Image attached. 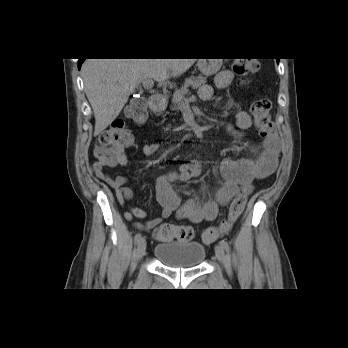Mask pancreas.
Segmentation results:
<instances>
[{"label": "pancreas", "instance_id": "cf45deb5", "mask_svg": "<svg viewBox=\"0 0 348 348\" xmlns=\"http://www.w3.org/2000/svg\"><path fill=\"white\" fill-rule=\"evenodd\" d=\"M207 78L204 76H190L185 79L184 85L180 88L175 90L173 94V98L171 100V110L177 111L181 109L182 104L185 102V94L188 91V87H192L193 89H197L200 86L206 84Z\"/></svg>", "mask_w": 348, "mask_h": 348}]
</instances>
